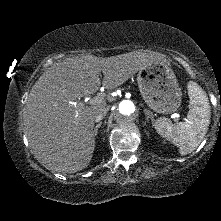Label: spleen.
Wrapping results in <instances>:
<instances>
[{
  "label": "spleen",
  "mask_w": 221,
  "mask_h": 221,
  "mask_svg": "<svg viewBox=\"0 0 221 221\" xmlns=\"http://www.w3.org/2000/svg\"><path fill=\"white\" fill-rule=\"evenodd\" d=\"M189 113L184 122L173 124L168 118L155 121L157 132L174 145L181 155L193 152L202 142L210 124V104L206 92L194 81L187 84Z\"/></svg>",
  "instance_id": "3e777b00"
}]
</instances>
